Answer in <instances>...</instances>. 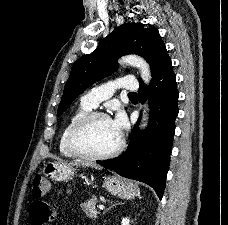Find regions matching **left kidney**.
<instances>
[{
    "instance_id": "5707ae66",
    "label": "left kidney",
    "mask_w": 228,
    "mask_h": 225,
    "mask_svg": "<svg viewBox=\"0 0 228 225\" xmlns=\"http://www.w3.org/2000/svg\"><path fill=\"white\" fill-rule=\"evenodd\" d=\"M121 225H130L129 217H125V219H122Z\"/></svg>"
}]
</instances>
